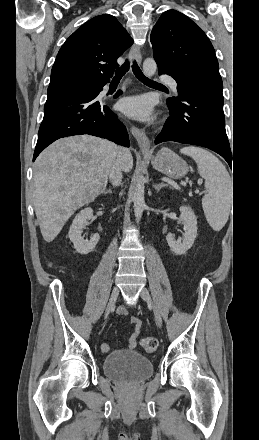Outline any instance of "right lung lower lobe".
Returning <instances> with one entry per match:
<instances>
[{"label":"right lung lower lobe","mask_w":259,"mask_h":440,"mask_svg":"<svg viewBox=\"0 0 259 440\" xmlns=\"http://www.w3.org/2000/svg\"><path fill=\"white\" fill-rule=\"evenodd\" d=\"M103 86L48 93L33 161L52 142L72 135L90 134L130 146L123 123L96 99Z\"/></svg>","instance_id":"98d812e1"}]
</instances>
